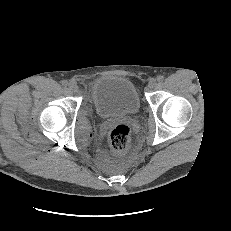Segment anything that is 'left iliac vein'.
Returning a JSON list of instances; mask_svg holds the SVG:
<instances>
[{
  "label": "left iliac vein",
  "instance_id": "obj_1",
  "mask_svg": "<svg viewBox=\"0 0 231 231\" xmlns=\"http://www.w3.org/2000/svg\"><path fill=\"white\" fill-rule=\"evenodd\" d=\"M156 85H157L156 79L152 78V79L149 80V82H148V87H149L150 89H153L154 87H156Z\"/></svg>",
  "mask_w": 231,
  "mask_h": 231
}]
</instances>
